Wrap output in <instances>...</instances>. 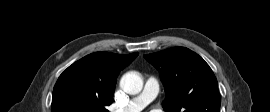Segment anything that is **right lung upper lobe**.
<instances>
[{
    "label": "right lung upper lobe",
    "instance_id": "cb5924a9",
    "mask_svg": "<svg viewBox=\"0 0 270 112\" xmlns=\"http://www.w3.org/2000/svg\"><path fill=\"white\" fill-rule=\"evenodd\" d=\"M138 53L128 55L96 52L69 66L58 78L52 96V112H59L60 105L69 99L84 102L97 112L113 101L119 72L128 66Z\"/></svg>",
    "mask_w": 270,
    "mask_h": 112
}]
</instances>
